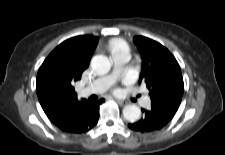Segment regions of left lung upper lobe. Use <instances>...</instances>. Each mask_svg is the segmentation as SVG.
<instances>
[{
    "instance_id": "5c2ea615",
    "label": "left lung upper lobe",
    "mask_w": 225,
    "mask_h": 155,
    "mask_svg": "<svg viewBox=\"0 0 225 155\" xmlns=\"http://www.w3.org/2000/svg\"><path fill=\"white\" fill-rule=\"evenodd\" d=\"M143 59L140 82L150 90L151 104L178 110L184 92L181 69L175 57L161 44L143 36L134 37Z\"/></svg>"
}]
</instances>
